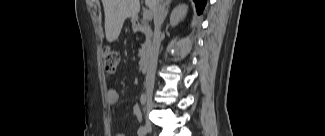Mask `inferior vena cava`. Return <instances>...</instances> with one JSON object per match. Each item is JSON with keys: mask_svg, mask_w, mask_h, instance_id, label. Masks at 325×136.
Listing matches in <instances>:
<instances>
[{"mask_svg": "<svg viewBox=\"0 0 325 136\" xmlns=\"http://www.w3.org/2000/svg\"><path fill=\"white\" fill-rule=\"evenodd\" d=\"M151 9L154 13V41L152 47V56L151 61L148 67V71L146 74L145 87H146V95L148 98L152 97V92L154 88L155 81V72L157 67V58L160 47V27L163 22V0H151Z\"/></svg>", "mask_w": 325, "mask_h": 136, "instance_id": "inferior-vena-cava-1", "label": "inferior vena cava"}]
</instances>
